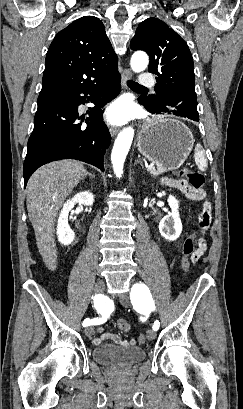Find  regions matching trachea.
Returning a JSON list of instances; mask_svg holds the SVG:
<instances>
[{
  "mask_svg": "<svg viewBox=\"0 0 243 409\" xmlns=\"http://www.w3.org/2000/svg\"><path fill=\"white\" fill-rule=\"evenodd\" d=\"M127 85L131 88H135V89H146L145 87H142L141 85H139L138 83L132 81V80H128L127 81Z\"/></svg>",
  "mask_w": 243,
  "mask_h": 409,
  "instance_id": "trachea-1",
  "label": "trachea"
}]
</instances>
